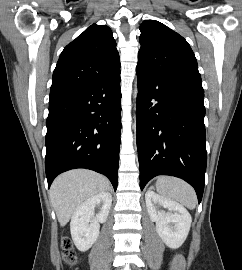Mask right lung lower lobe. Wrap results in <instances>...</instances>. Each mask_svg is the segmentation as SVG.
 Here are the masks:
<instances>
[{
  "label": "right lung lower lobe",
  "instance_id": "obj_1",
  "mask_svg": "<svg viewBox=\"0 0 242 270\" xmlns=\"http://www.w3.org/2000/svg\"><path fill=\"white\" fill-rule=\"evenodd\" d=\"M120 69L49 100L45 169L48 188L60 173L87 168L118 182Z\"/></svg>",
  "mask_w": 242,
  "mask_h": 270
}]
</instances>
